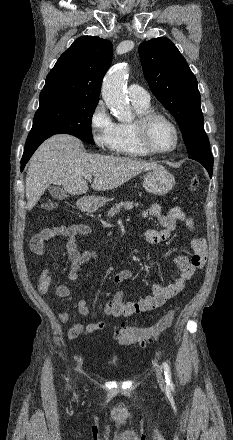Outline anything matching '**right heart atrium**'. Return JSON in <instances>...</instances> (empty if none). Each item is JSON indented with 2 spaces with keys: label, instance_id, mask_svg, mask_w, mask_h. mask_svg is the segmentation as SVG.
I'll return each mask as SVG.
<instances>
[{
  "label": "right heart atrium",
  "instance_id": "d8ad5b80",
  "mask_svg": "<svg viewBox=\"0 0 233 440\" xmlns=\"http://www.w3.org/2000/svg\"><path fill=\"white\" fill-rule=\"evenodd\" d=\"M89 128L95 145L104 152L114 151L117 123L103 101H98L89 118Z\"/></svg>",
  "mask_w": 233,
  "mask_h": 440
}]
</instances>
